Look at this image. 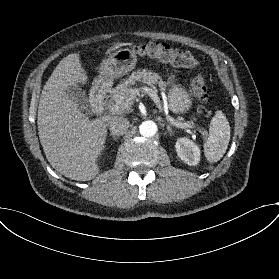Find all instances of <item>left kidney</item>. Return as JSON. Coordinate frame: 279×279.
<instances>
[{
    "label": "left kidney",
    "mask_w": 279,
    "mask_h": 279,
    "mask_svg": "<svg viewBox=\"0 0 279 279\" xmlns=\"http://www.w3.org/2000/svg\"><path fill=\"white\" fill-rule=\"evenodd\" d=\"M178 156L188 165L194 166L199 162V148L186 138L178 139L176 142Z\"/></svg>",
    "instance_id": "obj_1"
}]
</instances>
